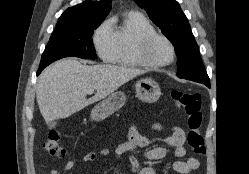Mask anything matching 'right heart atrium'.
I'll list each match as a JSON object with an SVG mask.
<instances>
[{
  "instance_id": "right-heart-atrium-1",
  "label": "right heart atrium",
  "mask_w": 249,
  "mask_h": 174,
  "mask_svg": "<svg viewBox=\"0 0 249 174\" xmlns=\"http://www.w3.org/2000/svg\"><path fill=\"white\" fill-rule=\"evenodd\" d=\"M93 44L97 54L104 61H110L116 50L115 36L109 22L102 23L93 35Z\"/></svg>"
}]
</instances>
